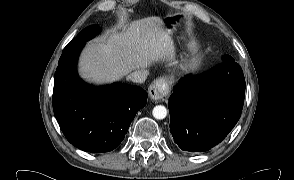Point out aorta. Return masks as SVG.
<instances>
[{"mask_svg": "<svg viewBox=\"0 0 294 180\" xmlns=\"http://www.w3.org/2000/svg\"><path fill=\"white\" fill-rule=\"evenodd\" d=\"M152 114L156 119L162 120L167 116V109L163 105H157L153 108Z\"/></svg>", "mask_w": 294, "mask_h": 180, "instance_id": "762f6f07", "label": "aorta"}]
</instances>
